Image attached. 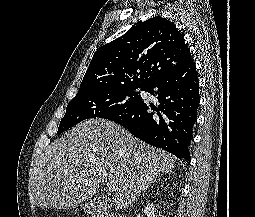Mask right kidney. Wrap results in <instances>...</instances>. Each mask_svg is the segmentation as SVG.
<instances>
[{
  "label": "right kidney",
  "mask_w": 255,
  "mask_h": 217,
  "mask_svg": "<svg viewBox=\"0 0 255 217\" xmlns=\"http://www.w3.org/2000/svg\"><path fill=\"white\" fill-rule=\"evenodd\" d=\"M144 212L146 213L147 217H155V205L154 204H149L147 207H145Z\"/></svg>",
  "instance_id": "obj_1"
}]
</instances>
